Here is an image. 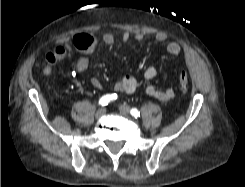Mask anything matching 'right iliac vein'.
<instances>
[{
	"mask_svg": "<svg viewBox=\"0 0 245 187\" xmlns=\"http://www.w3.org/2000/svg\"><path fill=\"white\" fill-rule=\"evenodd\" d=\"M105 113H106V109L101 108L96 112L95 117L96 118H102L105 115Z\"/></svg>",
	"mask_w": 245,
	"mask_h": 187,
	"instance_id": "63e3f726",
	"label": "right iliac vein"
}]
</instances>
